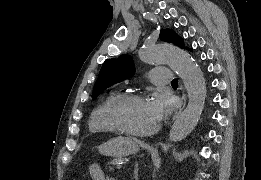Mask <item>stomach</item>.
Returning <instances> with one entry per match:
<instances>
[{
	"label": "stomach",
	"instance_id": "0dacf381",
	"mask_svg": "<svg viewBox=\"0 0 261 180\" xmlns=\"http://www.w3.org/2000/svg\"><path fill=\"white\" fill-rule=\"evenodd\" d=\"M98 150L102 155L122 158L137 153L139 146L135 139L115 137L100 145Z\"/></svg>",
	"mask_w": 261,
	"mask_h": 180
}]
</instances>
